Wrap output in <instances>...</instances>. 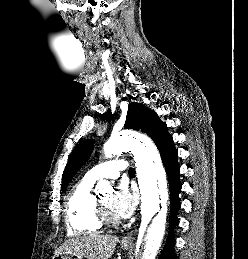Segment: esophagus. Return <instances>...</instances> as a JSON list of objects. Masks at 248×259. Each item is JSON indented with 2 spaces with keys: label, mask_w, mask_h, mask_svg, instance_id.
<instances>
[{
  "label": "esophagus",
  "mask_w": 248,
  "mask_h": 259,
  "mask_svg": "<svg viewBox=\"0 0 248 259\" xmlns=\"http://www.w3.org/2000/svg\"><path fill=\"white\" fill-rule=\"evenodd\" d=\"M133 232L134 231H131L130 233H128L127 235H125L122 240H121V243L122 244H131L133 242Z\"/></svg>",
  "instance_id": "esophagus-1"
}]
</instances>
